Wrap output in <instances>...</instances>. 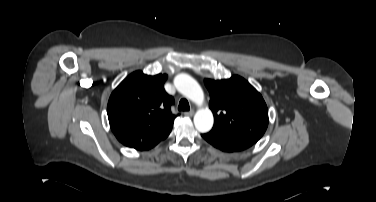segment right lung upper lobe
I'll list each match as a JSON object with an SVG mask.
<instances>
[{"instance_id":"1","label":"right lung upper lobe","mask_w":376,"mask_h":202,"mask_svg":"<svg viewBox=\"0 0 376 202\" xmlns=\"http://www.w3.org/2000/svg\"><path fill=\"white\" fill-rule=\"evenodd\" d=\"M166 74L149 76L136 71L112 92L107 113L111 130L125 146L152 148L166 138L176 117L173 97L164 90Z\"/></svg>"}]
</instances>
